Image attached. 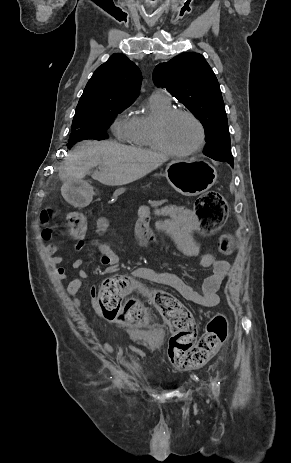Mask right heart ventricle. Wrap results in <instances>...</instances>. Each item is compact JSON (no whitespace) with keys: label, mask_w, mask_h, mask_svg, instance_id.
<instances>
[{"label":"right heart ventricle","mask_w":291,"mask_h":463,"mask_svg":"<svg viewBox=\"0 0 291 463\" xmlns=\"http://www.w3.org/2000/svg\"><path fill=\"white\" fill-rule=\"evenodd\" d=\"M146 111L132 117L133 131L130 142L139 147L158 150L153 142L152 127L154 121L171 108L170 99L154 92L147 101Z\"/></svg>","instance_id":"right-heart-ventricle-1"}]
</instances>
